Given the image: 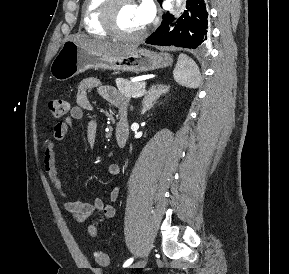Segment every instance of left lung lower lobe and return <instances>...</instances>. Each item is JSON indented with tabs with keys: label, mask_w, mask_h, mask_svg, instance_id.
<instances>
[{
	"label": "left lung lower lobe",
	"mask_w": 289,
	"mask_h": 274,
	"mask_svg": "<svg viewBox=\"0 0 289 274\" xmlns=\"http://www.w3.org/2000/svg\"><path fill=\"white\" fill-rule=\"evenodd\" d=\"M186 8L187 10L175 23H172L174 21L172 14L169 12L164 14L161 26L146 40V43L192 49L204 45L210 34L206 1L187 0ZM171 23L175 27L170 32Z\"/></svg>",
	"instance_id": "1"
}]
</instances>
